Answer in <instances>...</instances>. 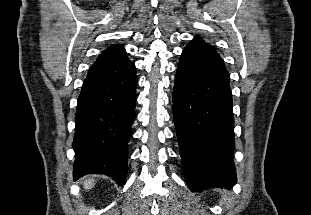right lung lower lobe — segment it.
I'll return each instance as SVG.
<instances>
[{
  "label": "right lung lower lobe",
  "instance_id": "98d812e1",
  "mask_svg": "<svg viewBox=\"0 0 311 215\" xmlns=\"http://www.w3.org/2000/svg\"><path fill=\"white\" fill-rule=\"evenodd\" d=\"M137 82L131 61L94 63L89 69L75 116V179L85 174H104L124 184Z\"/></svg>",
  "mask_w": 311,
  "mask_h": 215
}]
</instances>
